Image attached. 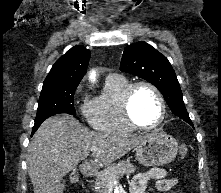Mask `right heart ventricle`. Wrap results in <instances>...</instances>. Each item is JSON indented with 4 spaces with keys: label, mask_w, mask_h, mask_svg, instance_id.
<instances>
[{
    "label": "right heart ventricle",
    "mask_w": 221,
    "mask_h": 193,
    "mask_svg": "<svg viewBox=\"0 0 221 193\" xmlns=\"http://www.w3.org/2000/svg\"><path fill=\"white\" fill-rule=\"evenodd\" d=\"M130 82L123 76L107 78L103 93L85 103L83 112L95 130L109 134H125L134 130L122 112V97Z\"/></svg>",
    "instance_id": "e07e8e85"
}]
</instances>
